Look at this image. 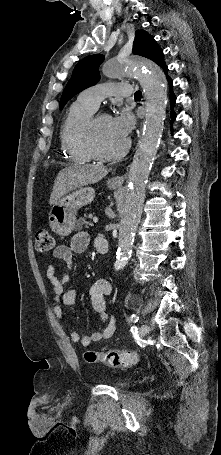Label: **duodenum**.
Here are the masks:
<instances>
[{"instance_id":"410a0bca","label":"duodenum","mask_w":221,"mask_h":455,"mask_svg":"<svg viewBox=\"0 0 221 455\" xmlns=\"http://www.w3.org/2000/svg\"><path fill=\"white\" fill-rule=\"evenodd\" d=\"M95 248L98 253L106 254L108 252V242L103 237H98L95 239Z\"/></svg>"}]
</instances>
